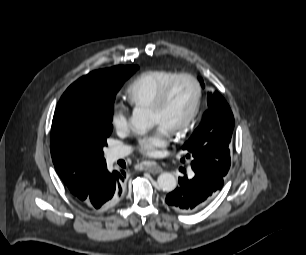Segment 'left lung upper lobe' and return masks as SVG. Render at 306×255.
<instances>
[{
  "instance_id": "1",
  "label": "left lung upper lobe",
  "mask_w": 306,
  "mask_h": 255,
  "mask_svg": "<svg viewBox=\"0 0 306 255\" xmlns=\"http://www.w3.org/2000/svg\"><path fill=\"white\" fill-rule=\"evenodd\" d=\"M199 81L204 87L203 80ZM233 129L234 116L229 105L217 91L209 93L203 121L182 147L191 165L207 166L225 177L230 168L228 145Z\"/></svg>"
}]
</instances>
